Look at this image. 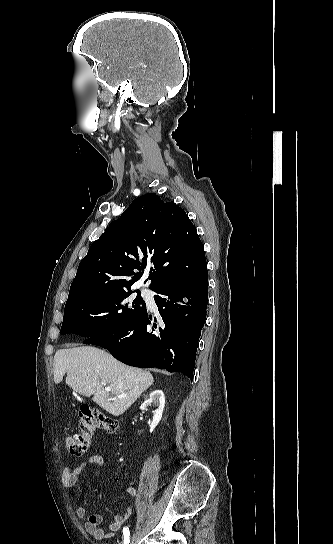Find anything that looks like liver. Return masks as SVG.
I'll use <instances>...</instances> for the list:
<instances>
[{
  "mask_svg": "<svg viewBox=\"0 0 333 544\" xmlns=\"http://www.w3.org/2000/svg\"><path fill=\"white\" fill-rule=\"evenodd\" d=\"M67 374L66 384L108 413L123 414L154 382L148 371L127 366L108 352L92 346L60 349L54 356V382ZM108 385L111 391L104 390ZM127 395L119 397V395Z\"/></svg>",
  "mask_w": 333,
  "mask_h": 544,
  "instance_id": "6515ba94",
  "label": "liver"
}]
</instances>
